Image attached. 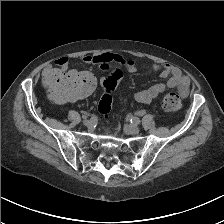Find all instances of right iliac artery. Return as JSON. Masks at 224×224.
Returning a JSON list of instances; mask_svg holds the SVG:
<instances>
[{
    "label": "right iliac artery",
    "mask_w": 224,
    "mask_h": 224,
    "mask_svg": "<svg viewBox=\"0 0 224 224\" xmlns=\"http://www.w3.org/2000/svg\"><path fill=\"white\" fill-rule=\"evenodd\" d=\"M90 120L95 124L97 122V117L93 115Z\"/></svg>",
    "instance_id": "obj_1"
}]
</instances>
